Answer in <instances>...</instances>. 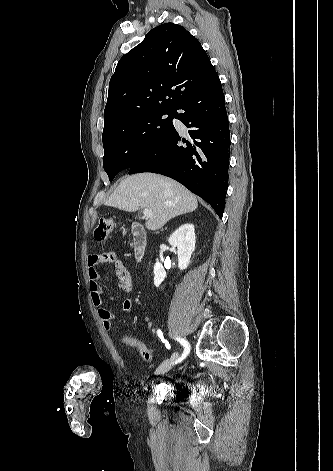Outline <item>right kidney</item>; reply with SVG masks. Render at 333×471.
Segmentation results:
<instances>
[{
	"label": "right kidney",
	"instance_id": "right-kidney-1",
	"mask_svg": "<svg viewBox=\"0 0 333 471\" xmlns=\"http://www.w3.org/2000/svg\"><path fill=\"white\" fill-rule=\"evenodd\" d=\"M170 245L177 247L178 267L184 270L190 263V258L195 250V229L194 225L187 223L180 226L168 239ZM154 285H159L166 277V271L161 263L157 260L154 266Z\"/></svg>",
	"mask_w": 333,
	"mask_h": 471
}]
</instances>
